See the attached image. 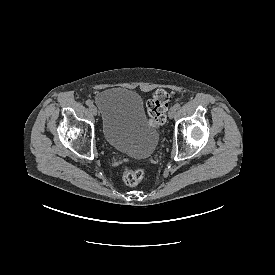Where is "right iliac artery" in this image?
<instances>
[{
    "label": "right iliac artery",
    "mask_w": 275,
    "mask_h": 275,
    "mask_svg": "<svg viewBox=\"0 0 275 275\" xmlns=\"http://www.w3.org/2000/svg\"><path fill=\"white\" fill-rule=\"evenodd\" d=\"M86 105L89 106V107H91L93 105V102L91 100H87L86 101Z\"/></svg>",
    "instance_id": "1"
}]
</instances>
